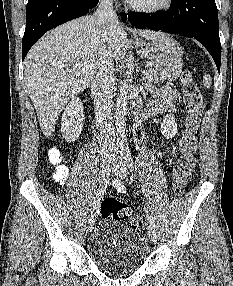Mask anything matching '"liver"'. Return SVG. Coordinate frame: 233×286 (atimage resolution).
I'll list each match as a JSON object with an SVG mask.
<instances>
[{"mask_svg":"<svg viewBox=\"0 0 233 286\" xmlns=\"http://www.w3.org/2000/svg\"><path fill=\"white\" fill-rule=\"evenodd\" d=\"M129 30L148 40L162 35ZM127 42L118 21L98 25L95 15H87L51 30L32 47L24 61L25 85L46 137L70 98L88 88L99 59L123 57Z\"/></svg>","mask_w":233,"mask_h":286,"instance_id":"6515ba94","label":"liver"}]
</instances>
